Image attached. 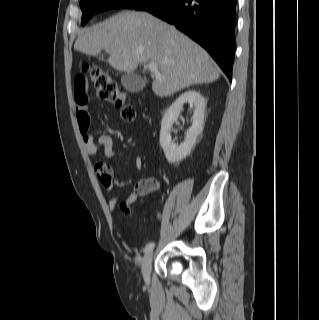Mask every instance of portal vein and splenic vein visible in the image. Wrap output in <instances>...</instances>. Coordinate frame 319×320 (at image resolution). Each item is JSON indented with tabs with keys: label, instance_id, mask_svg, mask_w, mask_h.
<instances>
[{
	"label": "portal vein and splenic vein",
	"instance_id": "portal-vein-and-splenic-vein-1",
	"mask_svg": "<svg viewBox=\"0 0 319 320\" xmlns=\"http://www.w3.org/2000/svg\"><path fill=\"white\" fill-rule=\"evenodd\" d=\"M148 69L150 70V72H152L156 76V78L162 79V76L160 75V73L158 71V66L155 62H149Z\"/></svg>",
	"mask_w": 319,
	"mask_h": 320
}]
</instances>
